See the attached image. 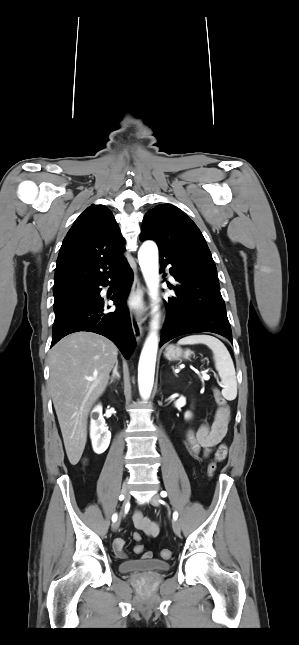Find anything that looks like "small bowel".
<instances>
[{"label": "small bowel", "mask_w": 299, "mask_h": 645, "mask_svg": "<svg viewBox=\"0 0 299 645\" xmlns=\"http://www.w3.org/2000/svg\"><path fill=\"white\" fill-rule=\"evenodd\" d=\"M227 423L228 418H225L220 409H218L212 422L202 423L196 431L188 430L186 445L190 454L194 458L200 459L201 457H208L214 452L217 459L223 460L227 455V447L222 443L226 435ZM133 522L135 528L147 536L156 537L159 534L158 523L143 516L138 510L133 514ZM124 545L125 540L122 537H117L113 541L114 553L120 559L126 558V554L123 551ZM151 557V552H146L142 558L150 559Z\"/></svg>", "instance_id": "1"}]
</instances>
